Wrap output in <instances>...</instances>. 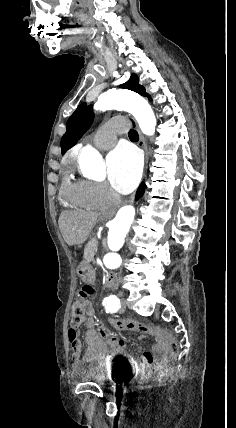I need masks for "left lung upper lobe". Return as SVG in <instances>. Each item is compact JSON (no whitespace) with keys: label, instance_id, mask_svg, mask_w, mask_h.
I'll use <instances>...</instances> for the list:
<instances>
[{"label":"left lung upper lobe","instance_id":"left-lung-upper-lobe-1","mask_svg":"<svg viewBox=\"0 0 236 428\" xmlns=\"http://www.w3.org/2000/svg\"><path fill=\"white\" fill-rule=\"evenodd\" d=\"M138 80V76L136 74H132L130 79L119 87L135 91L140 95L151 99L150 96L145 92L144 87L138 83ZM92 120V106H87L86 103L79 105L76 111L69 117L67 121V130L61 139L62 154H64L68 149L77 143V141L90 127Z\"/></svg>","mask_w":236,"mask_h":428}]
</instances>
